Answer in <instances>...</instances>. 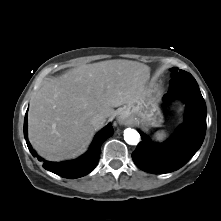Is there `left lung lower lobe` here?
Returning a JSON list of instances; mask_svg holds the SVG:
<instances>
[{
    "mask_svg": "<svg viewBox=\"0 0 221 221\" xmlns=\"http://www.w3.org/2000/svg\"><path fill=\"white\" fill-rule=\"evenodd\" d=\"M177 98L186 105L184 123L164 143H152L140 132L142 141L132 153L135 164L145 172L163 174L184 166L198 151L206 133V104L191 76L170 85L164 102Z\"/></svg>",
    "mask_w": 221,
    "mask_h": 221,
    "instance_id": "obj_1",
    "label": "left lung lower lobe"
}]
</instances>
